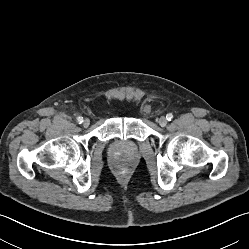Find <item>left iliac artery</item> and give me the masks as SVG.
<instances>
[{"instance_id": "1", "label": "left iliac artery", "mask_w": 249, "mask_h": 249, "mask_svg": "<svg viewBox=\"0 0 249 249\" xmlns=\"http://www.w3.org/2000/svg\"><path fill=\"white\" fill-rule=\"evenodd\" d=\"M166 119H167L168 121H171V120L173 119V115H172L171 113L167 114V115H166Z\"/></svg>"}]
</instances>
